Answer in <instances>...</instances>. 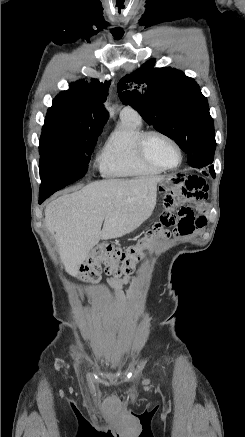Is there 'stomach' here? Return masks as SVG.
<instances>
[{
	"mask_svg": "<svg viewBox=\"0 0 245 437\" xmlns=\"http://www.w3.org/2000/svg\"><path fill=\"white\" fill-rule=\"evenodd\" d=\"M179 183H183V179L181 175L176 173L169 176H165L158 184L157 194L160 197H163L168 192H171L174 188H176Z\"/></svg>",
	"mask_w": 245,
	"mask_h": 437,
	"instance_id": "stomach-1",
	"label": "stomach"
}]
</instances>
